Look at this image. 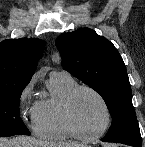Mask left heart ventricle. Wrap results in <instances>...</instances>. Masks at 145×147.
<instances>
[{"instance_id": "b2bd125f", "label": "left heart ventricle", "mask_w": 145, "mask_h": 147, "mask_svg": "<svg viewBox=\"0 0 145 147\" xmlns=\"http://www.w3.org/2000/svg\"><path fill=\"white\" fill-rule=\"evenodd\" d=\"M74 112L81 127L88 133L101 130L106 122L105 110L96 96L88 91L78 94Z\"/></svg>"}]
</instances>
